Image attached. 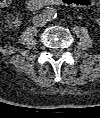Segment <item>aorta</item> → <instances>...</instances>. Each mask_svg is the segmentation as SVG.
<instances>
[{"label":"aorta","mask_w":100,"mask_h":118,"mask_svg":"<svg viewBox=\"0 0 100 118\" xmlns=\"http://www.w3.org/2000/svg\"><path fill=\"white\" fill-rule=\"evenodd\" d=\"M42 15L45 17L46 21H53L57 18V10L53 7H46Z\"/></svg>","instance_id":"1"}]
</instances>
